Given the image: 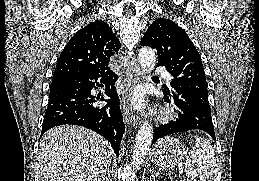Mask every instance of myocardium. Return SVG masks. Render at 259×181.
Wrapping results in <instances>:
<instances>
[{
    "mask_svg": "<svg viewBox=\"0 0 259 181\" xmlns=\"http://www.w3.org/2000/svg\"><path fill=\"white\" fill-rule=\"evenodd\" d=\"M162 117H163L164 119H169V118H171V117H172L171 111H165V112H163Z\"/></svg>",
    "mask_w": 259,
    "mask_h": 181,
    "instance_id": "obj_1",
    "label": "myocardium"
}]
</instances>
